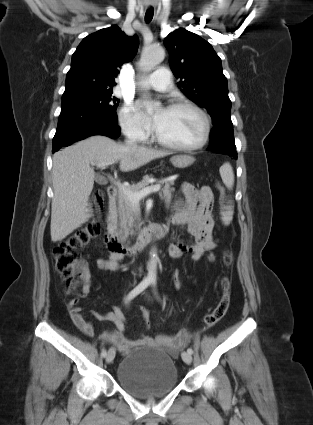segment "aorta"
Returning a JSON list of instances; mask_svg holds the SVG:
<instances>
[{"label": "aorta", "mask_w": 313, "mask_h": 425, "mask_svg": "<svg viewBox=\"0 0 313 425\" xmlns=\"http://www.w3.org/2000/svg\"><path fill=\"white\" fill-rule=\"evenodd\" d=\"M165 51L161 47H151L142 52L139 67L144 73H148L154 69L156 65L164 60ZM157 270V252L155 249L151 252V259L148 265V278L156 280Z\"/></svg>", "instance_id": "obj_1"}]
</instances>
